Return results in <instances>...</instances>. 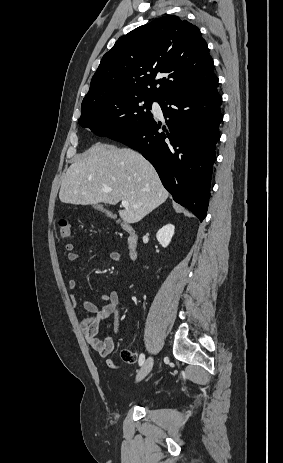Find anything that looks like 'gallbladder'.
Returning <instances> with one entry per match:
<instances>
[{
  "mask_svg": "<svg viewBox=\"0 0 283 463\" xmlns=\"http://www.w3.org/2000/svg\"><path fill=\"white\" fill-rule=\"evenodd\" d=\"M93 208L98 211L105 212L107 215L112 216L114 218L116 217V215H113L111 212L105 210L101 204H93Z\"/></svg>",
  "mask_w": 283,
  "mask_h": 463,
  "instance_id": "bac80fb5",
  "label": "gallbladder"
}]
</instances>
